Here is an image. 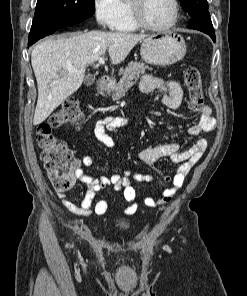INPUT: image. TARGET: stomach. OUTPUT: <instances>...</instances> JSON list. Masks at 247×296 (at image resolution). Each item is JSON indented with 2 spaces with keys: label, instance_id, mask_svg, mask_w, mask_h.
<instances>
[{
  "label": "stomach",
  "instance_id": "stomach-1",
  "mask_svg": "<svg viewBox=\"0 0 247 296\" xmlns=\"http://www.w3.org/2000/svg\"><path fill=\"white\" fill-rule=\"evenodd\" d=\"M140 54L148 64L169 66L184 58L185 40L175 31L152 34L143 39Z\"/></svg>",
  "mask_w": 247,
  "mask_h": 296
}]
</instances>
